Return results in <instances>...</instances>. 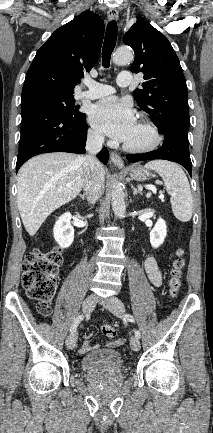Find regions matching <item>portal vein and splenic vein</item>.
Wrapping results in <instances>:
<instances>
[{
  "label": "portal vein and splenic vein",
  "mask_w": 213,
  "mask_h": 433,
  "mask_svg": "<svg viewBox=\"0 0 213 433\" xmlns=\"http://www.w3.org/2000/svg\"><path fill=\"white\" fill-rule=\"evenodd\" d=\"M69 186V185H68ZM146 187V189H148V190H151L153 193H156V188H155V186H153V185H147V186H145ZM150 193H148L146 196L147 197H150ZM159 198L160 199H163L164 198V196L161 194L160 196H159Z\"/></svg>",
  "instance_id": "obj_1"
}]
</instances>
